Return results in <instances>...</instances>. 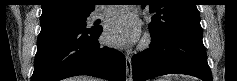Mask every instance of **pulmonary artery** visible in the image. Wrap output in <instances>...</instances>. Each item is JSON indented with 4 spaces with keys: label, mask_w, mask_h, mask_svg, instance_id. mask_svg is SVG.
Instances as JSON below:
<instances>
[{
    "label": "pulmonary artery",
    "mask_w": 237,
    "mask_h": 81,
    "mask_svg": "<svg viewBox=\"0 0 237 81\" xmlns=\"http://www.w3.org/2000/svg\"><path fill=\"white\" fill-rule=\"evenodd\" d=\"M119 12V7L117 6H111L107 9H103L101 11H98V12H95L93 13V19H99L101 17H105V16H109V15H112V14H116Z\"/></svg>",
    "instance_id": "e3ab8cb5"
}]
</instances>
